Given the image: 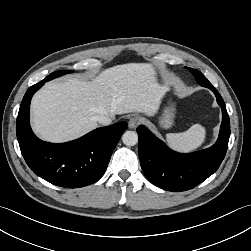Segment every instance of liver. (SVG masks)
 <instances>
[{"mask_svg":"<svg viewBox=\"0 0 251 251\" xmlns=\"http://www.w3.org/2000/svg\"><path fill=\"white\" fill-rule=\"evenodd\" d=\"M169 86V81L158 82L155 68L147 63L117 65L92 81L50 82L32 99V127L46 141L73 140L95 129L100 115H154Z\"/></svg>","mask_w":251,"mask_h":251,"instance_id":"6515ba94","label":"liver"}]
</instances>
